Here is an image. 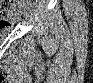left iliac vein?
<instances>
[{
	"instance_id": "4c4485c4",
	"label": "left iliac vein",
	"mask_w": 93,
	"mask_h": 83,
	"mask_svg": "<svg viewBox=\"0 0 93 83\" xmlns=\"http://www.w3.org/2000/svg\"><path fill=\"white\" fill-rule=\"evenodd\" d=\"M23 15H24L25 18H28L29 15H30V9H24Z\"/></svg>"
}]
</instances>
